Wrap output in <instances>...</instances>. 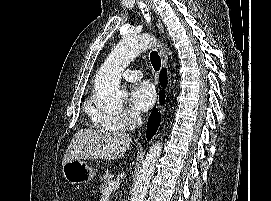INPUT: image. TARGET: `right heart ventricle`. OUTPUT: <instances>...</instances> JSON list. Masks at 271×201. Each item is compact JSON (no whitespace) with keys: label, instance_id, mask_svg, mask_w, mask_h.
I'll use <instances>...</instances> for the list:
<instances>
[{"label":"right heart ventricle","instance_id":"right-heart-ventricle-1","mask_svg":"<svg viewBox=\"0 0 271 201\" xmlns=\"http://www.w3.org/2000/svg\"><path fill=\"white\" fill-rule=\"evenodd\" d=\"M87 110H89V108ZM103 128L108 129V130H113L114 129V128H111V127H103Z\"/></svg>","mask_w":271,"mask_h":201}]
</instances>
